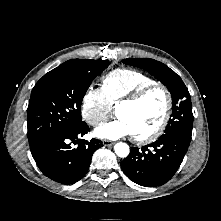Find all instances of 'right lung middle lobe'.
Returning <instances> with one entry per match:
<instances>
[{
    "instance_id": "1",
    "label": "right lung middle lobe",
    "mask_w": 221,
    "mask_h": 221,
    "mask_svg": "<svg viewBox=\"0 0 221 221\" xmlns=\"http://www.w3.org/2000/svg\"><path fill=\"white\" fill-rule=\"evenodd\" d=\"M106 60L72 59L46 73L34 86L27 108L30 148L81 124V103Z\"/></svg>"
}]
</instances>
